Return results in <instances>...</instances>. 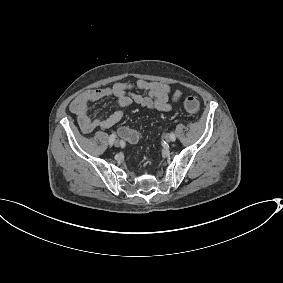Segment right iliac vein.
Returning a JSON list of instances; mask_svg holds the SVG:
<instances>
[{
  "instance_id": "right-iliac-vein-1",
  "label": "right iliac vein",
  "mask_w": 283,
  "mask_h": 283,
  "mask_svg": "<svg viewBox=\"0 0 283 283\" xmlns=\"http://www.w3.org/2000/svg\"><path fill=\"white\" fill-rule=\"evenodd\" d=\"M114 146H115V147H120V141H119V140H116V141L114 142Z\"/></svg>"
}]
</instances>
